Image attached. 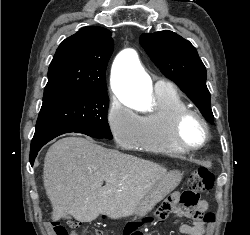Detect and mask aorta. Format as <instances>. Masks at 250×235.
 <instances>
[{
    "label": "aorta",
    "mask_w": 250,
    "mask_h": 235,
    "mask_svg": "<svg viewBox=\"0 0 250 235\" xmlns=\"http://www.w3.org/2000/svg\"><path fill=\"white\" fill-rule=\"evenodd\" d=\"M111 81L116 95L129 105H144L151 95L152 82L141 68L132 49L123 50L116 58Z\"/></svg>",
    "instance_id": "aorta-1"
}]
</instances>
